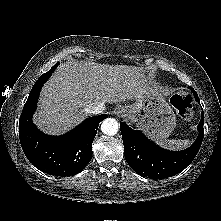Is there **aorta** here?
Returning <instances> with one entry per match:
<instances>
[{
	"label": "aorta",
	"mask_w": 221,
	"mask_h": 221,
	"mask_svg": "<svg viewBox=\"0 0 221 221\" xmlns=\"http://www.w3.org/2000/svg\"><path fill=\"white\" fill-rule=\"evenodd\" d=\"M119 124L114 118H107L103 120L101 124V131L108 136H114L117 134Z\"/></svg>",
	"instance_id": "aorta-1"
}]
</instances>
